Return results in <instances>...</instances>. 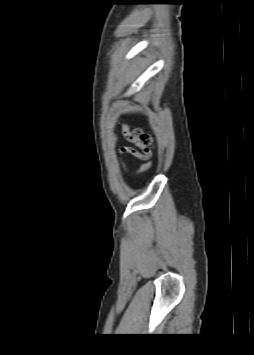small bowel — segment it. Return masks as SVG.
<instances>
[{
	"label": "small bowel",
	"instance_id": "1",
	"mask_svg": "<svg viewBox=\"0 0 254 355\" xmlns=\"http://www.w3.org/2000/svg\"><path fill=\"white\" fill-rule=\"evenodd\" d=\"M122 132H123V135L131 142L133 143H136L141 149L142 151H139L131 146H121L119 148V153L120 154H129V155H132L136 158H139L141 160H145L146 162L144 164H142L138 170L136 171L135 176H139L141 174H144L146 173L147 171H149L152 166H153V163L151 161H149V158L151 157V153L148 149H146L143 144H141L140 142H138V140L136 138H134L130 132H129V128L127 125H123L122 126ZM113 139L115 140L116 139V135L113 136ZM124 172L126 174H128L127 170L124 168Z\"/></svg>",
	"mask_w": 254,
	"mask_h": 355
}]
</instances>
